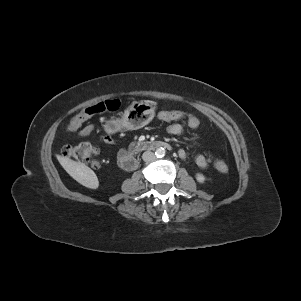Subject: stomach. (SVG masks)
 <instances>
[{
	"label": "stomach",
	"instance_id": "1",
	"mask_svg": "<svg viewBox=\"0 0 301 301\" xmlns=\"http://www.w3.org/2000/svg\"><path fill=\"white\" fill-rule=\"evenodd\" d=\"M155 105L148 101H134L125 110L120 119L112 120V130H137L147 125L154 117Z\"/></svg>",
	"mask_w": 301,
	"mask_h": 301
}]
</instances>
